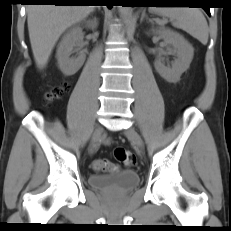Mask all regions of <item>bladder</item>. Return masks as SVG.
Instances as JSON below:
<instances>
[{"instance_id":"1","label":"bladder","mask_w":231,"mask_h":231,"mask_svg":"<svg viewBox=\"0 0 231 231\" xmlns=\"http://www.w3.org/2000/svg\"><path fill=\"white\" fill-rule=\"evenodd\" d=\"M92 189L107 194H126L139 184V175L132 170H125L109 175L93 174L88 177Z\"/></svg>"}]
</instances>
